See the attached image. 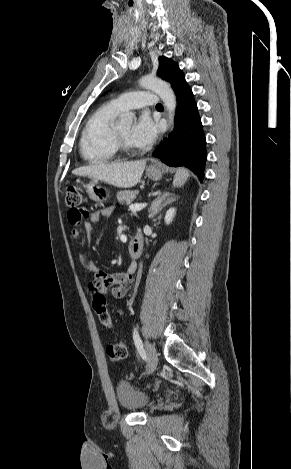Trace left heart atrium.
Wrapping results in <instances>:
<instances>
[{
	"instance_id": "1",
	"label": "left heart atrium",
	"mask_w": 291,
	"mask_h": 469,
	"mask_svg": "<svg viewBox=\"0 0 291 469\" xmlns=\"http://www.w3.org/2000/svg\"><path fill=\"white\" fill-rule=\"evenodd\" d=\"M157 133L156 123L148 113H143L131 130L130 142L136 147L145 148L154 142Z\"/></svg>"
}]
</instances>
